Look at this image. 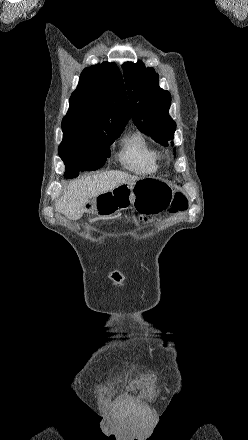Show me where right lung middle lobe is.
Masks as SVG:
<instances>
[{
  "label": "right lung middle lobe",
  "instance_id": "dd1d6c3e",
  "mask_svg": "<svg viewBox=\"0 0 248 440\" xmlns=\"http://www.w3.org/2000/svg\"><path fill=\"white\" fill-rule=\"evenodd\" d=\"M122 130L93 134L81 142L65 148H59V156L66 166L64 177L72 178L78 171L96 170L102 167L106 158L110 156L111 145Z\"/></svg>",
  "mask_w": 248,
  "mask_h": 440
}]
</instances>
